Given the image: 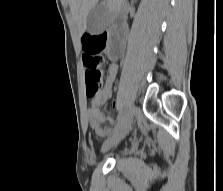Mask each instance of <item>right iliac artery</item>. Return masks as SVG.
<instances>
[{
	"label": "right iliac artery",
	"instance_id": "1",
	"mask_svg": "<svg viewBox=\"0 0 223 191\" xmlns=\"http://www.w3.org/2000/svg\"><path fill=\"white\" fill-rule=\"evenodd\" d=\"M126 112V109H124L122 112H121V122L123 121V115L124 113ZM126 114V113H125ZM121 124V123H120ZM120 124H118L116 127H115V131L119 128Z\"/></svg>",
	"mask_w": 223,
	"mask_h": 191
}]
</instances>
